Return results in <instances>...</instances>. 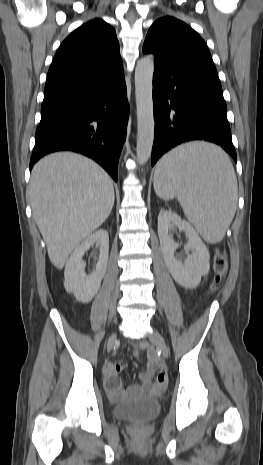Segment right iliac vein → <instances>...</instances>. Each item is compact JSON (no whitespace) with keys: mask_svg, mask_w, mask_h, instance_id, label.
Wrapping results in <instances>:
<instances>
[{"mask_svg":"<svg viewBox=\"0 0 263 465\" xmlns=\"http://www.w3.org/2000/svg\"><path fill=\"white\" fill-rule=\"evenodd\" d=\"M116 341H117V334H116V333H113V334L110 336V338H109V340H108V343H107V350H108V351H110V350L113 348V346L115 345Z\"/></svg>","mask_w":263,"mask_h":465,"instance_id":"obj_1","label":"right iliac vein"}]
</instances>
